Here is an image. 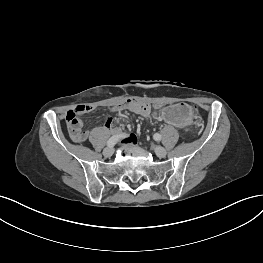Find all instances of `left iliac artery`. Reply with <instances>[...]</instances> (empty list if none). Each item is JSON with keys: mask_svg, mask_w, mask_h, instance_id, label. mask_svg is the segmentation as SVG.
<instances>
[{"mask_svg": "<svg viewBox=\"0 0 263 263\" xmlns=\"http://www.w3.org/2000/svg\"><path fill=\"white\" fill-rule=\"evenodd\" d=\"M153 138H154V140H156V141H161V135L159 134V133H156V134H154V136H153Z\"/></svg>", "mask_w": 263, "mask_h": 263, "instance_id": "obj_1", "label": "left iliac artery"}]
</instances>
